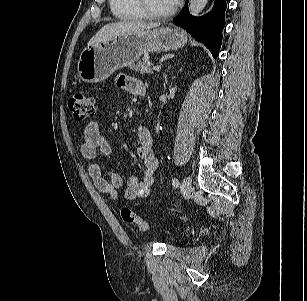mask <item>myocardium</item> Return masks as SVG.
<instances>
[{
  "label": "myocardium",
  "instance_id": "1",
  "mask_svg": "<svg viewBox=\"0 0 307 301\" xmlns=\"http://www.w3.org/2000/svg\"><path fill=\"white\" fill-rule=\"evenodd\" d=\"M137 5L139 9L142 11V13L150 18V19H166L171 17L176 12V5H174L169 11L164 13H158L151 9V7L148 4L147 0H136Z\"/></svg>",
  "mask_w": 307,
  "mask_h": 301
}]
</instances>
